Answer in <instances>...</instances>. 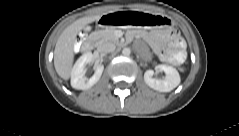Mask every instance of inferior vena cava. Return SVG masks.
Wrapping results in <instances>:
<instances>
[{
    "label": "inferior vena cava",
    "instance_id": "obj_1",
    "mask_svg": "<svg viewBox=\"0 0 239 136\" xmlns=\"http://www.w3.org/2000/svg\"><path fill=\"white\" fill-rule=\"evenodd\" d=\"M115 49H116L115 44H113L111 42L101 43L97 48V50L100 53H110V52H113Z\"/></svg>",
    "mask_w": 239,
    "mask_h": 136
}]
</instances>
